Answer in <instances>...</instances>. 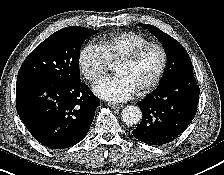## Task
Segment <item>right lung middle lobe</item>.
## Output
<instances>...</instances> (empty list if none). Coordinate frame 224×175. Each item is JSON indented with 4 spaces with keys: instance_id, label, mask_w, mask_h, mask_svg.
<instances>
[{
    "instance_id": "obj_1",
    "label": "right lung middle lobe",
    "mask_w": 224,
    "mask_h": 175,
    "mask_svg": "<svg viewBox=\"0 0 224 175\" xmlns=\"http://www.w3.org/2000/svg\"><path fill=\"white\" fill-rule=\"evenodd\" d=\"M97 30L70 26L58 30L40 43L25 59L20 77H41L60 82L80 80L79 56L83 42Z\"/></svg>"
}]
</instances>
